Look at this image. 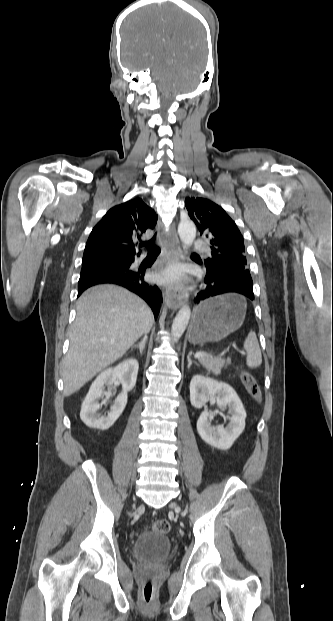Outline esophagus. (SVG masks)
Masks as SVG:
<instances>
[{
	"label": "esophagus",
	"mask_w": 333,
	"mask_h": 621,
	"mask_svg": "<svg viewBox=\"0 0 333 621\" xmlns=\"http://www.w3.org/2000/svg\"><path fill=\"white\" fill-rule=\"evenodd\" d=\"M162 229V224H158ZM161 240L163 243V250L165 254V260L178 261L181 258V248L177 233L174 227L168 232H161ZM187 298V293L183 289L168 288L165 295V302L168 308H179Z\"/></svg>",
	"instance_id": "esophagus-1"
}]
</instances>
